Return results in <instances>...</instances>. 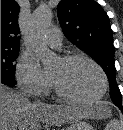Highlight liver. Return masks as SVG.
<instances>
[{
    "label": "liver",
    "mask_w": 123,
    "mask_h": 130,
    "mask_svg": "<svg viewBox=\"0 0 123 130\" xmlns=\"http://www.w3.org/2000/svg\"><path fill=\"white\" fill-rule=\"evenodd\" d=\"M97 106H68L42 102L31 103L21 92L1 84V130H39L40 122L58 126L95 118Z\"/></svg>",
    "instance_id": "1"
}]
</instances>
